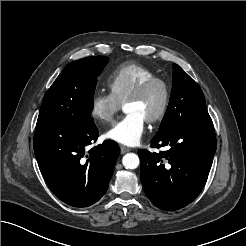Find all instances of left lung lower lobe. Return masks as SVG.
<instances>
[{"instance_id":"1","label":"left lung lower lobe","mask_w":246,"mask_h":246,"mask_svg":"<svg viewBox=\"0 0 246 246\" xmlns=\"http://www.w3.org/2000/svg\"><path fill=\"white\" fill-rule=\"evenodd\" d=\"M167 146L159 153L139 150L140 177L145 194L162 210L174 211L191 203L202 191L216 151L210 117L176 124L155 136L151 147Z\"/></svg>"}]
</instances>
